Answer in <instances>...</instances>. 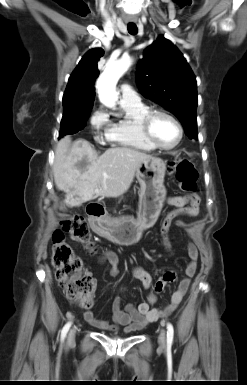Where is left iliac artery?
Segmentation results:
<instances>
[{
	"mask_svg": "<svg viewBox=\"0 0 247 385\" xmlns=\"http://www.w3.org/2000/svg\"><path fill=\"white\" fill-rule=\"evenodd\" d=\"M174 337V329L171 323H167V343L172 344Z\"/></svg>",
	"mask_w": 247,
	"mask_h": 385,
	"instance_id": "1",
	"label": "left iliac artery"
}]
</instances>
